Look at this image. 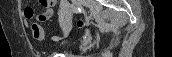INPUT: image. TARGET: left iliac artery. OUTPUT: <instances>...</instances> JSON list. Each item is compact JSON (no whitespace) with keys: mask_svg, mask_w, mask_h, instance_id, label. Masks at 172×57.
Instances as JSON below:
<instances>
[{"mask_svg":"<svg viewBox=\"0 0 172 57\" xmlns=\"http://www.w3.org/2000/svg\"><path fill=\"white\" fill-rule=\"evenodd\" d=\"M64 3H65V0H62V1H61V4H64Z\"/></svg>","mask_w":172,"mask_h":57,"instance_id":"1","label":"left iliac artery"}]
</instances>
